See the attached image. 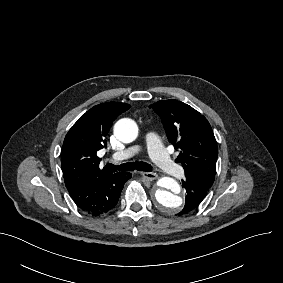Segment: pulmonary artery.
I'll use <instances>...</instances> for the list:
<instances>
[{"instance_id":"1","label":"pulmonary artery","mask_w":283,"mask_h":283,"mask_svg":"<svg viewBox=\"0 0 283 283\" xmlns=\"http://www.w3.org/2000/svg\"><path fill=\"white\" fill-rule=\"evenodd\" d=\"M147 146L149 149V154L151 156V161L156 168L165 173H174L176 176L182 175L181 166L177 165L173 158L168 157L165 153V148L160 136L156 135L155 132H148L146 134ZM139 152L138 147H134L122 152H115L111 155L113 160L122 161L133 157Z\"/></svg>"}]
</instances>
